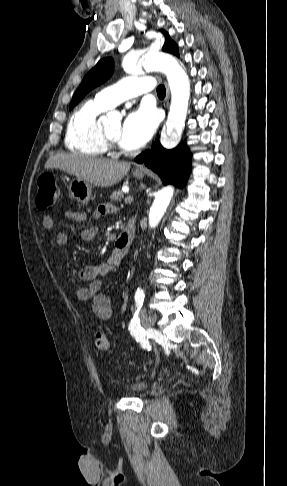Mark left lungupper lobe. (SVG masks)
<instances>
[{
  "instance_id": "1",
  "label": "left lung upper lobe",
  "mask_w": 287,
  "mask_h": 486,
  "mask_svg": "<svg viewBox=\"0 0 287 486\" xmlns=\"http://www.w3.org/2000/svg\"><path fill=\"white\" fill-rule=\"evenodd\" d=\"M165 36V43L162 47L164 52L172 53L179 57L178 47L176 43L171 40L168 33L165 30H161ZM114 70L113 59L108 57L100 60L94 68H92L84 77L83 81L79 85L77 91L70 102L69 109L71 110L76 106L82 98L89 93L93 88L102 84L110 78Z\"/></svg>"
}]
</instances>
